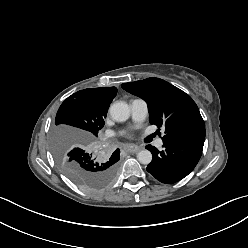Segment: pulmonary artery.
I'll return each instance as SVG.
<instances>
[{
  "label": "pulmonary artery",
  "mask_w": 248,
  "mask_h": 248,
  "mask_svg": "<svg viewBox=\"0 0 248 248\" xmlns=\"http://www.w3.org/2000/svg\"><path fill=\"white\" fill-rule=\"evenodd\" d=\"M131 116L132 119L136 122H141L145 120L148 115V106L147 103L142 99H134L130 102ZM162 139H158L156 142L157 147H162Z\"/></svg>",
  "instance_id": "pulmonary-artery-1"
}]
</instances>
